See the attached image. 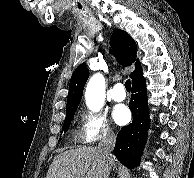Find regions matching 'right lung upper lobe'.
Listing matches in <instances>:
<instances>
[{
	"label": "right lung upper lobe",
	"mask_w": 194,
	"mask_h": 178,
	"mask_svg": "<svg viewBox=\"0 0 194 178\" xmlns=\"http://www.w3.org/2000/svg\"><path fill=\"white\" fill-rule=\"evenodd\" d=\"M111 45L115 50L118 62L123 66L132 65L137 55V45L128 33L123 30H115L111 37ZM89 77V70L86 63L79 65L74 71L69 85L66 113L77 109L84 86ZM132 83L143 78L142 68L139 60L135 63V70L130 75Z\"/></svg>",
	"instance_id": "1"
}]
</instances>
